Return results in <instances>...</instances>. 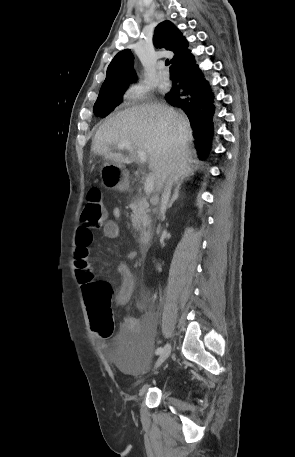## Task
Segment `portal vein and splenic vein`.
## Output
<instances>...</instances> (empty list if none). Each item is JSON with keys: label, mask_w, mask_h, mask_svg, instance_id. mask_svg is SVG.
Returning a JSON list of instances; mask_svg holds the SVG:
<instances>
[{"label": "portal vein and splenic vein", "mask_w": 295, "mask_h": 457, "mask_svg": "<svg viewBox=\"0 0 295 457\" xmlns=\"http://www.w3.org/2000/svg\"><path fill=\"white\" fill-rule=\"evenodd\" d=\"M118 148L119 149H127L129 151H133L137 154V156L140 158L142 162L147 161V155L145 152L136 149L130 142L124 141L118 143ZM154 181H155V176L153 173H149L148 176L146 177V180L144 182V191L146 194L152 193L154 190Z\"/></svg>", "instance_id": "18ae733b"}]
</instances>
